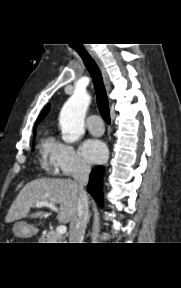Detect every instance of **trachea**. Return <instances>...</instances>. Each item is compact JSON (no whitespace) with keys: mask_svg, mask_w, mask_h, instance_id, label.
I'll return each mask as SVG.
<instances>
[{"mask_svg":"<svg viewBox=\"0 0 181 288\" xmlns=\"http://www.w3.org/2000/svg\"><path fill=\"white\" fill-rule=\"evenodd\" d=\"M76 51L83 59V62L92 77L99 112L104 121L107 124H110L111 120H110L109 103L105 87L103 84L101 71L97 66V64L95 63V61L92 59V57L88 54V52L85 49L76 48Z\"/></svg>","mask_w":181,"mask_h":288,"instance_id":"3493384b","label":"trachea"}]
</instances>
